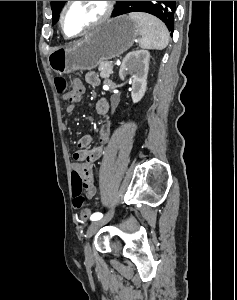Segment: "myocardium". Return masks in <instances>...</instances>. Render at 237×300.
Listing matches in <instances>:
<instances>
[{
	"label": "myocardium",
	"instance_id": "1",
	"mask_svg": "<svg viewBox=\"0 0 237 300\" xmlns=\"http://www.w3.org/2000/svg\"><path fill=\"white\" fill-rule=\"evenodd\" d=\"M73 2L74 1H66V3L64 4V6L61 10L60 18H59V25H60L61 33L63 34L64 37H66L68 39H74V38L80 37V36L86 34L87 32L92 31V30L102 26L110 19V17L112 16L113 10H114V1H104V11L97 20H95L93 23H91L90 25H88L87 27L82 29L79 33L74 34V35H69V34H67V32L65 31V28H64V19H65V14L67 12V9Z\"/></svg>",
	"mask_w": 237,
	"mask_h": 300
}]
</instances>
